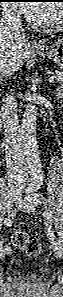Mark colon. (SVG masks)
<instances>
[{
    "instance_id": "1",
    "label": "colon",
    "mask_w": 63,
    "mask_h": 297,
    "mask_svg": "<svg viewBox=\"0 0 63 297\" xmlns=\"http://www.w3.org/2000/svg\"><path fill=\"white\" fill-rule=\"evenodd\" d=\"M12 241L14 245L23 251L27 256L35 257L40 253L41 246L39 241L25 232L15 233Z\"/></svg>"
}]
</instances>
